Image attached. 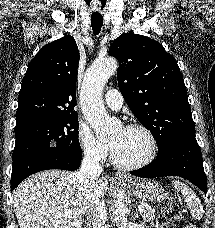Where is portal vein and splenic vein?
<instances>
[{"label":"portal vein and splenic vein","mask_w":215,"mask_h":228,"mask_svg":"<svg viewBox=\"0 0 215 228\" xmlns=\"http://www.w3.org/2000/svg\"><path fill=\"white\" fill-rule=\"evenodd\" d=\"M138 210H139V212H144L145 208H144V206H138ZM68 214H72V212H68ZM73 214H74V212H73Z\"/></svg>","instance_id":"obj_1"}]
</instances>
